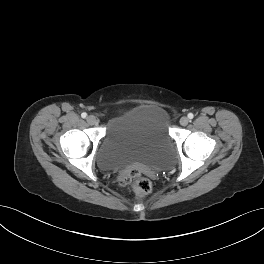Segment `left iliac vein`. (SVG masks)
Wrapping results in <instances>:
<instances>
[{"mask_svg": "<svg viewBox=\"0 0 264 264\" xmlns=\"http://www.w3.org/2000/svg\"><path fill=\"white\" fill-rule=\"evenodd\" d=\"M179 122L182 126H186L189 123V119L187 117L183 116L180 118Z\"/></svg>", "mask_w": 264, "mask_h": 264, "instance_id": "obj_1", "label": "left iliac vein"}]
</instances>
